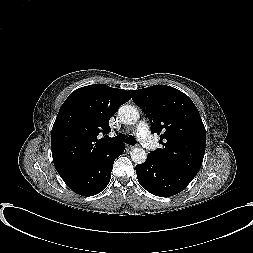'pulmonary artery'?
<instances>
[{
    "mask_svg": "<svg viewBox=\"0 0 253 253\" xmlns=\"http://www.w3.org/2000/svg\"><path fill=\"white\" fill-rule=\"evenodd\" d=\"M136 134L138 139L147 149H154L156 144L154 143L150 134L148 125L145 122H140L136 127Z\"/></svg>",
    "mask_w": 253,
    "mask_h": 253,
    "instance_id": "pulmonary-artery-1",
    "label": "pulmonary artery"
}]
</instances>
